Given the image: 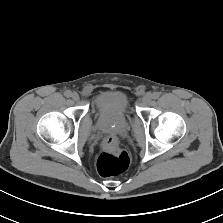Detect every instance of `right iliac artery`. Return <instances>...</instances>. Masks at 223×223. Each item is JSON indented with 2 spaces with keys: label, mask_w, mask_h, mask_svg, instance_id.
Segmentation results:
<instances>
[{
  "label": "right iliac artery",
  "mask_w": 223,
  "mask_h": 223,
  "mask_svg": "<svg viewBox=\"0 0 223 223\" xmlns=\"http://www.w3.org/2000/svg\"><path fill=\"white\" fill-rule=\"evenodd\" d=\"M65 97L69 98L72 95V92L70 90H67L64 92Z\"/></svg>",
  "instance_id": "right-iliac-artery-1"
}]
</instances>
